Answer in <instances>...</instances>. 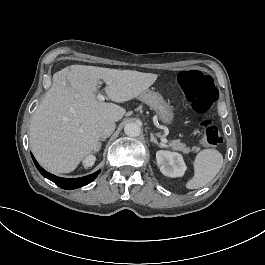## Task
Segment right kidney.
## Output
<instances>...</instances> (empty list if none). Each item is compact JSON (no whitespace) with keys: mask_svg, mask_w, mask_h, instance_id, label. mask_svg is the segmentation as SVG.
I'll list each match as a JSON object with an SVG mask.
<instances>
[{"mask_svg":"<svg viewBox=\"0 0 265 265\" xmlns=\"http://www.w3.org/2000/svg\"><path fill=\"white\" fill-rule=\"evenodd\" d=\"M95 156L94 155H89L85 160H84V165L85 167L89 168L92 167L95 163Z\"/></svg>","mask_w":265,"mask_h":265,"instance_id":"ca27d5eb","label":"right kidney"}]
</instances>
